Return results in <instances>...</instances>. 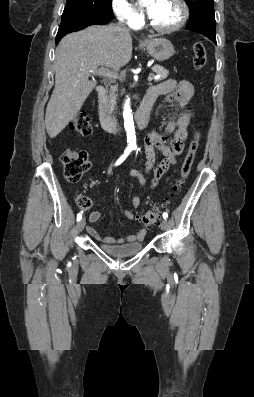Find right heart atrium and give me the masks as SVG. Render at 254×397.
Instances as JSON below:
<instances>
[{
    "label": "right heart atrium",
    "mask_w": 254,
    "mask_h": 397,
    "mask_svg": "<svg viewBox=\"0 0 254 397\" xmlns=\"http://www.w3.org/2000/svg\"><path fill=\"white\" fill-rule=\"evenodd\" d=\"M113 11L119 21L131 28L141 25L143 16L127 0H113Z\"/></svg>",
    "instance_id": "d8ad5b80"
}]
</instances>
